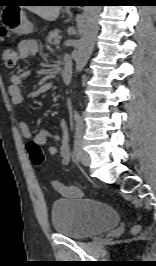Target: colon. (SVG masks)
<instances>
[{
  "label": "colon",
  "instance_id": "colon-1",
  "mask_svg": "<svg viewBox=\"0 0 156 266\" xmlns=\"http://www.w3.org/2000/svg\"><path fill=\"white\" fill-rule=\"evenodd\" d=\"M2 55H3V60L6 66L13 67L16 64L17 59H18V52L14 47H11V46L6 47L3 50ZM27 150L30 155L32 164L39 169H43L45 158H44V155H43V152L40 146L34 142H29L27 144ZM138 230H139L138 226H135L132 229L134 233L138 232Z\"/></svg>",
  "mask_w": 156,
  "mask_h": 266
}]
</instances>
